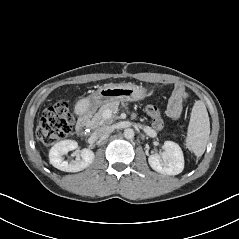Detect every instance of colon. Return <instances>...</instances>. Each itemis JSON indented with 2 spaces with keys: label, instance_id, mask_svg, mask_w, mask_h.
<instances>
[{
  "label": "colon",
  "instance_id": "colon-1",
  "mask_svg": "<svg viewBox=\"0 0 239 239\" xmlns=\"http://www.w3.org/2000/svg\"><path fill=\"white\" fill-rule=\"evenodd\" d=\"M151 123L156 130H161L166 122V117L156 106L148 107ZM74 123L70 107L66 102H58L47 108L36 129L37 138L45 145L54 144L72 131Z\"/></svg>",
  "mask_w": 239,
  "mask_h": 239
}]
</instances>
